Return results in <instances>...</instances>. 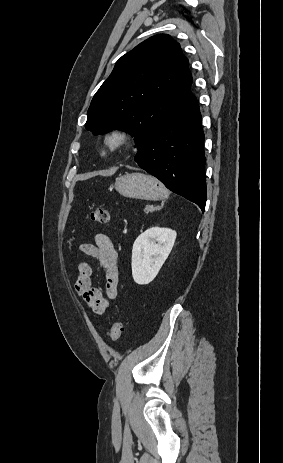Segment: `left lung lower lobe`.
I'll return each instance as SVG.
<instances>
[{
	"label": "left lung lower lobe",
	"instance_id": "0a47b994",
	"mask_svg": "<svg viewBox=\"0 0 283 463\" xmlns=\"http://www.w3.org/2000/svg\"><path fill=\"white\" fill-rule=\"evenodd\" d=\"M204 133L196 97L158 127L134 160L168 189L204 212L206 176Z\"/></svg>",
	"mask_w": 283,
	"mask_h": 463
}]
</instances>
